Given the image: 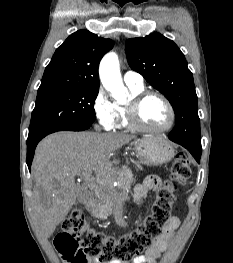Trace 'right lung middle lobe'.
Segmentation results:
<instances>
[{"label": "right lung middle lobe", "instance_id": "obj_1", "mask_svg": "<svg viewBox=\"0 0 233 263\" xmlns=\"http://www.w3.org/2000/svg\"><path fill=\"white\" fill-rule=\"evenodd\" d=\"M98 88H73L37 95L28 140L65 126L95 121L94 102Z\"/></svg>", "mask_w": 233, "mask_h": 263}]
</instances>
